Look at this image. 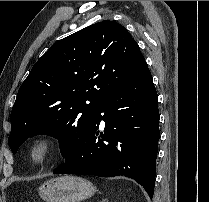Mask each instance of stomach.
Masks as SVG:
<instances>
[{
	"instance_id": "obj_1",
	"label": "stomach",
	"mask_w": 209,
	"mask_h": 202,
	"mask_svg": "<svg viewBox=\"0 0 209 202\" xmlns=\"http://www.w3.org/2000/svg\"><path fill=\"white\" fill-rule=\"evenodd\" d=\"M95 192L93 184L77 176H61L44 182L38 189L46 202H81Z\"/></svg>"
}]
</instances>
